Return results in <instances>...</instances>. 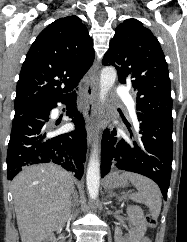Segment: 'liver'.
<instances>
[{
	"instance_id": "liver-1",
	"label": "liver",
	"mask_w": 187,
	"mask_h": 242,
	"mask_svg": "<svg viewBox=\"0 0 187 242\" xmlns=\"http://www.w3.org/2000/svg\"><path fill=\"white\" fill-rule=\"evenodd\" d=\"M22 242H42L71 213L74 178L53 163L24 168L11 184Z\"/></svg>"
}]
</instances>
